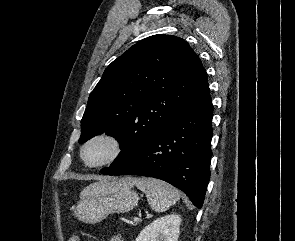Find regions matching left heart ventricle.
Segmentation results:
<instances>
[{"label":"left heart ventricle","instance_id":"left-heart-ventricle-1","mask_svg":"<svg viewBox=\"0 0 295 241\" xmlns=\"http://www.w3.org/2000/svg\"><path fill=\"white\" fill-rule=\"evenodd\" d=\"M112 152V145L105 140L93 142L85 151V159L89 163H97L107 158Z\"/></svg>","mask_w":295,"mask_h":241}]
</instances>
